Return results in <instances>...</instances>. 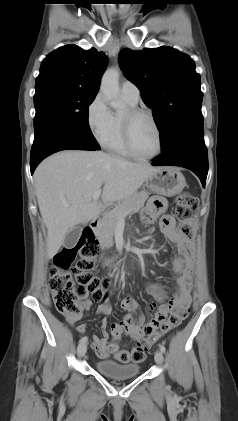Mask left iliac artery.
Masks as SVG:
<instances>
[{"mask_svg": "<svg viewBox=\"0 0 238 421\" xmlns=\"http://www.w3.org/2000/svg\"><path fill=\"white\" fill-rule=\"evenodd\" d=\"M159 347H160L161 352H162V353H165V350H166V349H165V346H164V345H162V344H160V345H159Z\"/></svg>", "mask_w": 238, "mask_h": 421, "instance_id": "left-iliac-artery-1", "label": "left iliac artery"}]
</instances>
